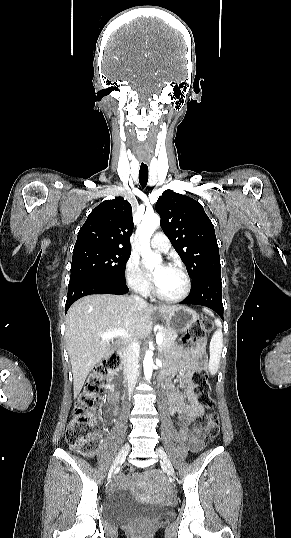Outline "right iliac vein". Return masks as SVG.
Segmentation results:
<instances>
[{
  "label": "right iliac vein",
  "mask_w": 291,
  "mask_h": 538,
  "mask_svg": "<svg viewBox=\"0 0 291 538\" xmlns=\"http://www.w3.org/2000/svg\"><path fill=\"white\" fill-rule=\"evenodd\" d=\"M129 450H130V446H129L128 443H126V444L121 448V450L119 451L118 455L116 456V458H115V460H114V462H113V464H112V466H111V468H110V470H109V474H110V475L114 472V470L117 468V466L125 460V458H126L128 452H129Z\"/></svg>",
  "instance_id": "1"
}]
</instances>
